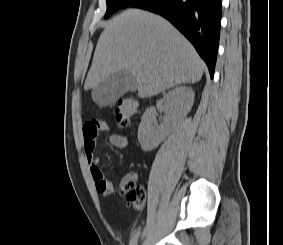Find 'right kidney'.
Segmentation results:
<instances>
[{
    "label": "right kidney",
    "mask_w": 283,
    "mask_h": 245,
    "mask_svg": "<svg viewBox=\"0 0 283 245\" xmlns=\"http://www.w3.org/2000/svg\"><path fill=\"white\" fill-rule=\"evenodd\" d=\"M194 91L190 87L179 86L169 91L163 98L166 120L162 126L157 123L158 113L151 106L144 112L138 128V140L144 151L156 148L171 130L170 123L181 120L191 110Z\"/></svg>",
    "instance_id": "1"
}]
</instances>
